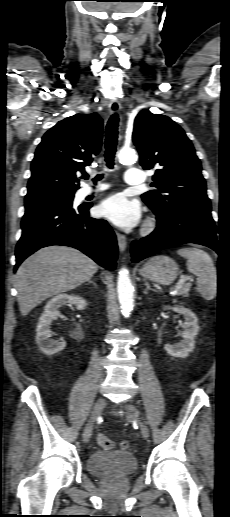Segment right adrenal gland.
I'll list each match as a JSON object with an SVG mask.
<instances>
[{
	"label": "right adrenal gland",
	"instance_id": "right-adrenal-gland-1",
	"mask_svg": "<svg viewBox=\"0 0 230 517\" xmlns=\"http://www.w3.org/2000/svg\"><path fill=\"white\" fill-rule=\"evenodd\" d=\"M87 284H93L95 288H97V287H98V286H97V284H96L95 282H93L91 279H89V280L87 281Z\"/></svg>",
	"mask_w": 230,
	"mask_h": 517
}]
</instances>
